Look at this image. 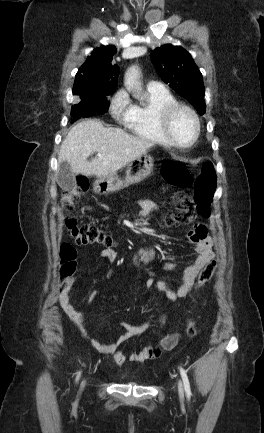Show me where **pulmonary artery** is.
Wrapping results in <instances>:
<instances>
[{
	"label": "pulmonary artery",
	"mask_w": 264,
	"mask_h": 433,
	"mask_svg": "<svg viewBox=\"0 0 264 433\" xmlns=\"http://www.w3.org/2000/svg\"><path fill=\"white\" fill-rule=\"evenodd\" d=\"M147 88L153 91H163L165 86L162 82L157 80H151L147 83Z\"/></svg>",
	"instance_id": "1"
}]
</instances>
